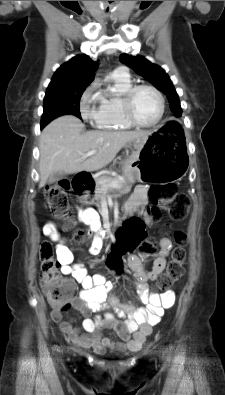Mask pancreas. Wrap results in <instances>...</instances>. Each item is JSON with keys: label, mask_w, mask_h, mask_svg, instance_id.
Here are the masks:
<instances>
[{"label": "pancreas", "mask_w": 225, "mask_h": 395, "mask_svg": "<svg viewBox=\"0 0 225 395\" xmlns=\"http://www.w3.org/2000/svg\"><path fill=\"white\" fill-rule=\"evenodd\" d=\"M112 181H117L120 188H113L108 186ZM120 190L122 193H128L131 189V182L125 177H110L107 174H102L96 178L95 199L99 200L104 192Z\"/></svg>", "instance_id": "obj_1"}]
</instances>
